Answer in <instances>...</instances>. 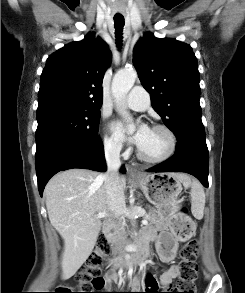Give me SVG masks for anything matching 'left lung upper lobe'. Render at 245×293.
Segmentation results:
<instances>
[{"instance_id": "obj_1", "label": "left lung upper lobe", "mask_w": 245, "mask_h": 293, "mask_svg": "<svg viewBox=\"0 0 245 293\" xmlns=\"http://www.w3.org/2000/svg\"><path fill=\"white\" fill-rule=\"evenodd\" d=\"M133 64L154 110L178 138H205L197 58L190 45L147 33L133 51Z\"/></svg>"}]
</instances>
